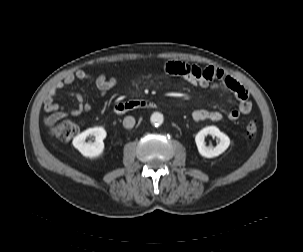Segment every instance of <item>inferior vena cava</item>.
I'll return each instance as SVG.
<instances>
[{
	"instance_id": "inferior-vena-cava-1",
	"label": "inferior vena cava",
	"mask_w": 303,
	"mask_h": 252,
	"mask_svg": "<svg viewBox=\"0 0 303 252\" xmlns=\"http://www.w3.org/2000/svg\"><path fill=\"white\" fill-rule=\"evenodd\" d=\"M135 125V119L132 116H127L123 120V126L127 129L133 128Z\"/></svg>"
}]
</instances>
